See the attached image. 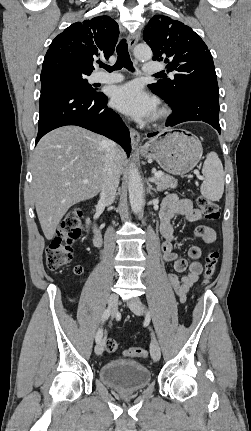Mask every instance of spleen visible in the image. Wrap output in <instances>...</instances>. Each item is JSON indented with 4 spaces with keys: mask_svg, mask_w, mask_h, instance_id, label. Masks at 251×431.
<instances>
[{
    "mask_svg": "<svg viewBox=\"0 0 251 431\" xmlns=\"http://www.w3.org/2000/svg\"><path fill=\"white\" fill-rule=\"evenodd\" d=\"M202 174L204 181L201 194L212 201H219L224 192V170L217 153L210 152L204 161Z\"/></svg>",
    "mask_w": 251,
    "mask_h": 431,
    "instance_id": "spleen-1",
    "label": "spleen"
}]
</instances>
